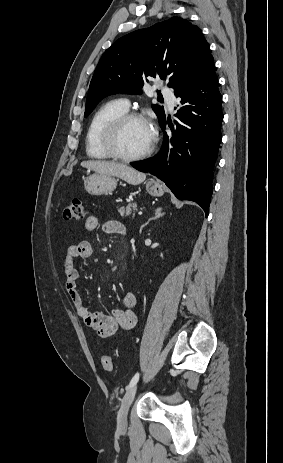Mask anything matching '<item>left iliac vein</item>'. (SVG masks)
Listing matches in <instances>:
<instances>
[{"label": "left iliac vein", "mask_w": 283, "mask_h": 463, "mask_svg": "<svg viewBox=\"0 0 283 463\" xmlns=\"http://www.w3.org/2000/svg\"><path fill=\"white\" fill-rule=\"evenodd\" d=\"M137 390V385L130 387L123 397L121 407L118 412V427L124 429L127 426V414L130 405L133 402Z\"/></svg>", "instance_id": "obj_1"}]
</instances>
